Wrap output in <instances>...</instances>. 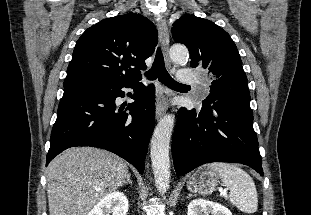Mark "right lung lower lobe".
<instances>
[{
    "mask_svg": "<svg viewBox=\"0 0 311 215\" xmlns=\"http://www.w3.org/2000/svg\"><path fill=\"white\" fill-rule=\"evenodd\" d=\"M134 88V103L117 108L122 88ZM155 89L151 84L96 81L64 89L53 125L47 163L75 146L106 149L124 158L142 174L149 139L155 123ZM129 111V112H126Z\"/></svg>",
    "mask_w": 311,
    "mask_h": 215,
    "instance_id": "obj_1",
    "label": "right lung lower lobe"
}]
</instances>
